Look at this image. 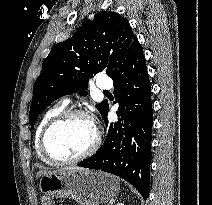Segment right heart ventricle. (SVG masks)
I'll use <instances>...</instances> for the list:
<instances>
[{
    "mask_svg": "<svg viewBox=\"0 0 212 205\" xmlns=\"http://www.w3.org/2000/svg\"><path fill=\"white\" fill-rule=\"evenodd\" d=\"M65 110V105L64 104H59L56 105L52 108H50L42 117L36 132H35V140H34V146H35V150L37 152V154L39 155V157L46 163L48 164H53V162H51L49 159H47L44 154L41 151L40 148V137H41V133L44 129V127L46 126V124L56 115H58L59 113L63 112Z\"/></svg>",
    "mask_w": 212,
    "mask_h": 205,
    "instance_id": "1",
    "label": "right heart ventricle"
}]
</instances>
